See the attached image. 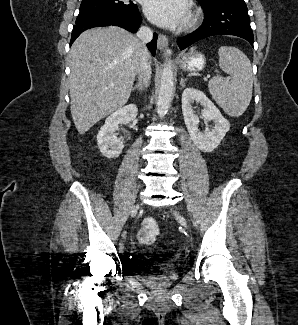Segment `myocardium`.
I'll list each match as a JSON object with an SVG mask.
<instances>
[{
    "instance_id": "obj_1",
    "label": "myocardium",
    "mask_w": 298,
    "mask_h": 325,
    "mask_svg": "<svg viewBox=\"0 0 298 325\" xmlns=\"http://www.w3.org/2000/svg\"><path fill=\"white\" fill-rule=\"evenodd\" d=\"M194 23V14L190 12L188 24L192 25Z\"/></svg>"
}]
</instances>
